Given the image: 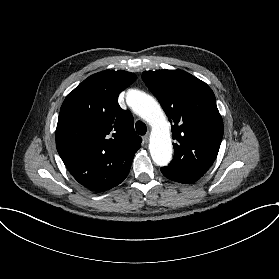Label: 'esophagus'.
<instances>
[{
    "mask_svg": "<svg viewBox=\"0 0 279 279\" xmlns=\"http://www.w3.org/2000/svg\"><path fill=\"white\" fill-rule=\"evenodd\" d=\"M148 139H149L148 135L143 136L142 137L143 143L147 144L148 143Z\"/></svg>",
    "mask_w": 279,
    "mask_h": 279,
    "instance_id": "34e87169",
    "label": "esophagus"
}]
</instances>
